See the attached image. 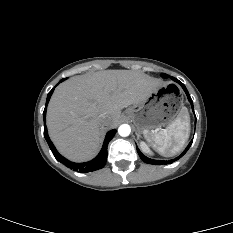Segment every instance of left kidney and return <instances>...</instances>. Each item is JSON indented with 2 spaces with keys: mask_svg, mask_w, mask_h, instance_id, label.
<instances>
[{
  "mask_svg": "<svg viewBox=\"0 0 233 233\" xmlns=\"http://www.w3.org/2000/svg\"><path fill=\"white\" fill-rule=\"evenodd\" d=\"M140 146H141V149L143 150V152L152 155V152H151L149 146L144 141L140 142Z\"/></svg>",
  "mask_w": 233,
  "mask_h": 233,
  "instance_id": "obj_1",
  "label": "left kidney"
}]
</instances>
